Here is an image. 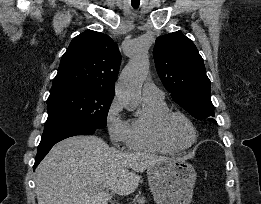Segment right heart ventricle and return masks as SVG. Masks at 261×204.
<instances>
[{
  "instance_id": "e07e8e85",
  "label": "right heart ventricle",
  "mask_w": 261,
  "mask_h": 204,
  "mask_svg": "<svg viewBox=\"0 0 261 204\" xmlns=\"http://www.w3.org/2000/svg\"><path fill=\"white\" fill-rule=\"evenodd\" d=\"M169 110L164 99H143L142 113L129 121L128 146L145 152L173 154L178 150L165 143L157 131L159 117Z\"/></svg>"
}]
</instances>
